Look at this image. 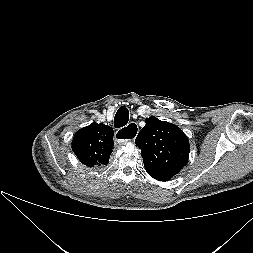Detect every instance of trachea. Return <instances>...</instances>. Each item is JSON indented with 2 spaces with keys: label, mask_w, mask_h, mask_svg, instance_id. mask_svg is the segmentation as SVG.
Segmentation results:
<instances>
[{
  "label": "trachea",
  "mask_w": 253,
  "mask_h": 253,
  "mask_svg": "<svg viewBox=\"0 0 253 253\" xmlns=\"http://www.w3.org/2000/svg\"><path fill=\"white\" fill-rule=\"evenodd\" d=\"M129 120V111L126 107H121L118 109L115 117H114V126L116 128H120L125 126Z\"/></svg>",
  "instance_id": "3493384b"
}]
</instances>
